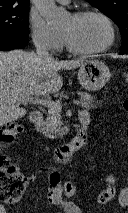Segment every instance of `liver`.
I'll return each instance as SVG.
<instances>
[{"instance_id": "liver-1", "label": "liver", "mask_w": 128, "mask_h": 213, "mask_svg": "<svg viewBox=\"0 0 128 213\" xmlns=\"http://www.w3.org/2000/svg\"><path fill=\"white\" fill-rule=\"evenodd\" d=\"M83 63L44 61L23 50L0 51V127L26 115L20 103L27 98L58 92L63 85L59 70H71Z\"/></svg>"}]
</instances>
